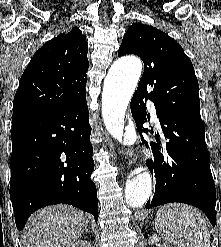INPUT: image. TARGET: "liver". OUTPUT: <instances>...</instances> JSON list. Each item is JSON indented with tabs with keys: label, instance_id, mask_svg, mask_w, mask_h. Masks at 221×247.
I'll return each instance as SVG.
<instances>
[{
	"label": "liver",
	"instance_id": "liver-1",
	"mask_svg": "<svg viewBox=\"0 0 221 247\" xmlns=\"http://www.w3.org/2000/svg\"><path fill=\"white\" fill-rule=\"evenodd\" d=\"M87 214L68 205H53L35 212L22 234L24 247H70L88 227Z\"/></svg>",
	"mask_w": 221,
	"mask_h": 247
}]
</instances>
